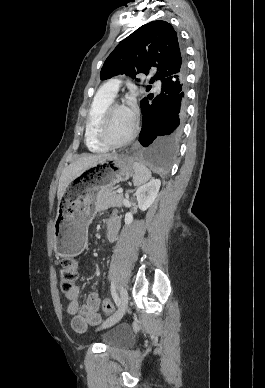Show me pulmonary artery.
<instances>
[{
	"instance_id": "e3ab8cb5",
	"label": "pulmonary artery",
	"mask_w": 265,
	"mask_h": 388,
	"mask_svg": "<svg viewBox=\"0 0 265 388\" xmlns=\"http://www.w3.org/2000/svg\"><path fill=\"white\" fill-rule=\"evenodd\" d=\"M116 79L109 81L108 83H102V90H118L119 85Z\"/></svg>"
}]
</instances>
